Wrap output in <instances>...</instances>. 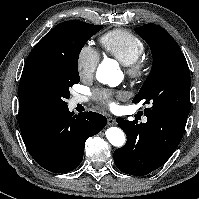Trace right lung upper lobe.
I'll return each instance as SVG.
<instances>
[{
	"instance_id": "cb5924a9",
	"label": "right lung upper lobe",
	"mask_w": 199,
	"mask_h": 199,
	"mask_svg": "<svg viewBox=\"0 0 199 199\" xmlns=\"http://www.w3.org/2000/svg\"><path fill=\"white\" fill-rule=\"evenodd\" d=\"M38 44L39 43H37L36 46L33 48V50L30 52L27 60L36 51ZM18 93H19V113H18L19 126L23 139H26L30 137L38 128L42 127L46 123L48 117L53 112L47 111L44 108L31 103L23 96L20 90L18 91Z\"/></svg>"
}]
</instances>
